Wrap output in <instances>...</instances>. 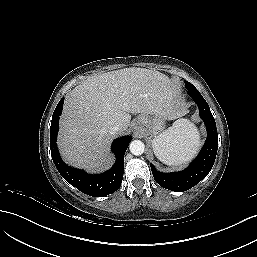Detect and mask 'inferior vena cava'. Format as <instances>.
<instances>
[{"label":"inferior vena cava","mask_w":257,"mask_h":257,"mask_svg":"<svg viewBox=\"0 0 257 257\" xmlns=\"http://www.w3.org/2000/svg\"><path fill=\"white\" fill-rule=\"evenodd\" d=\"M120 131V125L119 124H114L110 127V133L111 134H116Z\"/></svg>","instance_id":"obj_1"}]
</instances>
